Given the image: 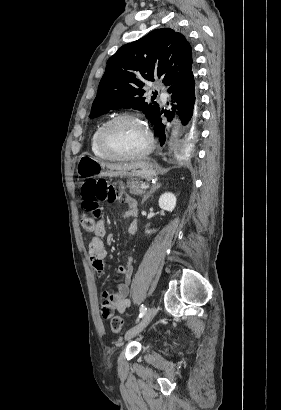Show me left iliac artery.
<instances>
[{
  "label": "left iliac artery",
  "mask_w": 281,
  "mask_h": 410,
  "mask_svg": "<svg viewBox=\"0 0 281 410\" xmlns=\"http://www.w3.org/2000/svg\"><path fill=\"white\" fill-rule=\"evenodd\" d=\"M146 311H147L146 306H145L144 304H142V305L140 306V315H139L140 318H142V317L145 315Z\"/></svg>",
  "instance_id": "obj_1"
}]
</instances>
